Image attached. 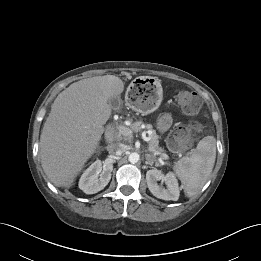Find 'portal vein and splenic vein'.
<instances>
[{
    "label": "portal vein and splenic vein",
    "mask_w": 261,
    "mask_h": 261,
    "mask_svg": "<svg viewBox=\"0 0 261 261\" xmlns=\"http://www.w3.org/2000/svg\"><path fill=\"white\" fill-rule=\"evenodd\" d=\"M119 132L122 135H124V136H131L132 135V131L129 128L125 127V126H119ZM144 140L149 142L150 138L149 137H145ZM149 150L150 151L153 150L152 147L150 146V144H149ZM166 157H167V155H166Z\"/></svg>",
    "instance_id": "1"
}]
</instances>
